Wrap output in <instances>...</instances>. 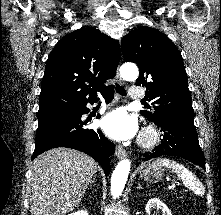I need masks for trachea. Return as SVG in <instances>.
<instances>
[{"label":"trachea","mask_w":221,"mask_h":215,"mask_svg":"<svg viewBox=\"0 0 221 215\" xmlns=\"http://www.w3.org/2000/svg\"><path fill=\"white\" fill-rule=\"evenodd\" d=\"M116 91L120 94V95H122V96H126V90L123 88V87H121L120 85H116Z\"/></svg>","instance_id":"obj_1"}]
</instances>
